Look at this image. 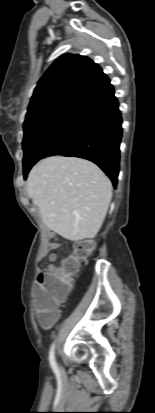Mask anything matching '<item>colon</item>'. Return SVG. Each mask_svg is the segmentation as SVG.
I'll return each mask as SVG.
<instances>
[{"mask_svg": "<svg viewBox=\"0 0 155 413\" xmlns=\"http://www.w3.org/2000/svg\"><path fill=\"white\" fill-rule=\"evenodd\" d=\"M93 249L94 243L92 241H82L75 245L74 252L67 255L60 266L54 263V258L52 259L39 281L44 286V291L37 302L40 309L53 311L69 291L73 278L78 274L82 263Z\"/></svg>", "mask_w": 155, "mask_h": 413, "instance_id": "5ec220e1", "label": "colon"}]
</instances>
